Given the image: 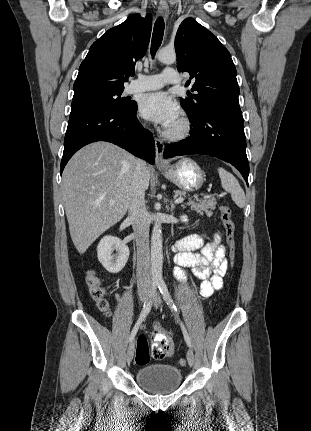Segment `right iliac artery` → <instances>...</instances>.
Masks as SVG:
<instances>
[{
  "label": "right iliac artery",
  "instance_id": "right-iliac-artery-1",
  "mask_svg": "<svg viewBox=\"0 0 311 431\" xmlns=\"http://www.w3.org/2000/svg\"><path fill=\"white\" fill-rule=\"evenodd\" d=\"M157 289V284L153 283L151 290H150V294H149V299L144 303L142 311L140 313V316L135 324V326L133 327L130 337H129V342H132L136 336V333L139 329L140 324L143 322V320L146 318V316L148 315V313L151 310V306H152V298L155 295Z\"/></svg>",
  "mask_w": 311,
  "mask_h": 431
}]
</instances>
